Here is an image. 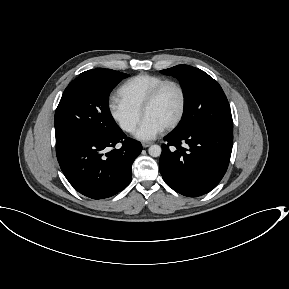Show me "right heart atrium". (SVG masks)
I'll return each mask as SVG.
<instances>
[{
    "label": "right heart atrium",
    "instance_id": "obj_1",
    "mask_svg": "<svg viewBox=\"0 0 289 289\" xmlns=\"http://www.w3.org/2000/svg\"><path fill=\"white\" fill-rule=\"evenodd\" d=\"M110 116L115 123L126 133H133L141 120V112L122 101L112 98L108 103Z\"/></svg>",
    "mask_w": 289,
    "mask_h": 289
}]
</instances>
